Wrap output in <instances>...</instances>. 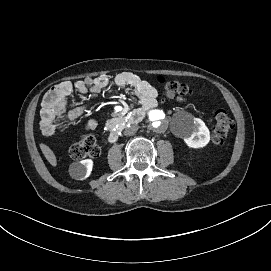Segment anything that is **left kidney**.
Segmentation results:
<instances>
[{"mask_svg": "<svg viewBox=\"0 0 271 271\" xmlns=\"http://www.w3.org/2000/svg\"><path fill=\"white\" fill-rule=\"evenodd\" d=\"M189 127L181 135L184 138L185 143L192 148L204 147L210 140L209 129L205 123L193 116L189 119Z\"/></svg>", "mask_w": 271, "mask_h": 271, "instance_id": "1", "label": "left kidney"}]
</instances>
